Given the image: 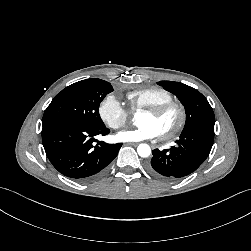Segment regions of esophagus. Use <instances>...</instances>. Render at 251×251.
I'll list each match as a JSON object with an SVG mask.
<instances>
[{
	"instance_id": "obj_1",
	"label": "esophagus",
	"mask_w": 251,
	"mask_h": 251,
	"mask_svg": "<svg viewBox=\"0 0 251 251\" xmlns=\"http://www.w3.org/2000/svg\"><path fill=\"white\" fill-rule=\"evenodd\" d=\"M139 143L137 142H128L127 145H131V146H137Z\"/></svg>"
}]
</instances>
